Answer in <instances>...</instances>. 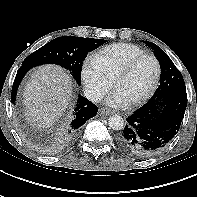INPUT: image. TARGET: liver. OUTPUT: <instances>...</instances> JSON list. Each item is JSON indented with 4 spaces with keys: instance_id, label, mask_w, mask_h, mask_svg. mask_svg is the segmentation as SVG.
<instances>
[{
    "instance_id": "liver-1",
    "label": "liver",
    "mask_w": 197,
    "mask_h": 197,
    "mask_svg": "<svg viewBox=\"0 0 197 197\" xmlns=\"http://www.w3.org/2000/svg\"><path fill=\"white\" fill-rule=\"evenodd\" d=\"M71 96L72 82L62 67H39L24 88L27 120L38 128H49L67 108Z\"/></svg>"
}]
</instances>
